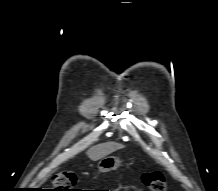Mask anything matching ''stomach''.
Masks as SVG:
<instances>
[{"label":"stomach","instance_id":"stomach-1","mask_svg":"<svg viewBox=\"0 0 218 191\" xmlns=\"http://www.w3.org/2000/svg\"><path fill=\"white\" fill-rule=\"evenodd\" d=\"M121 160L115 156H107L102 158L98 163V168L101 172H110L118 169L121 166Z\"/></svg>","mask_w":218,"mask_h":191}]
</instances>
